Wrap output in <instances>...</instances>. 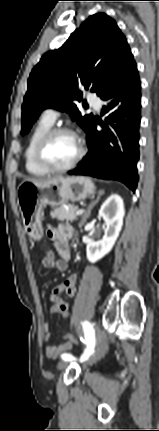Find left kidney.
<instances>
[{
	"label": "left kidney",
	"mask_w": 159,
	"mask_h": 431,
	"mask_svg": "<svg viewBox=\"0 0 159 431\" xmlns=\"http://www.w3.org/2000/svg\"><path fill=\"white\" fill-rule=\"evenodd\" d=\"M125 210L122 198L113 194L107 198L99 210V216L106 224L104 236L100 241L89 242L86 247L87 259L95 263L113 248L123 225Z\"/></svg>",
	"instance_id": "5707ae66"
}]
</instances>
